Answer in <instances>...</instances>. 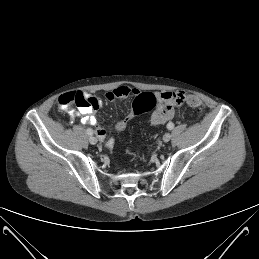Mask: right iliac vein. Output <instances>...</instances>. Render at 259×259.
<instances>
[{
    "mask_svg": "<svg viewBox=\"0 0 259 259\" xmlns=\"http://www.w3.org/2000/svg\"><path fill=\"white\" fill-rule=\"evenodd\" d=\"M89 142H90L91 144L95 145V144L97 143V138L94 137V136H92V135H90V137H89Z\"/></svg>",
    "mask_w": 259,
    "mask_h": 259,
    "instance_id": "right-iliac-vein-1",
    "label": "right iliac vein"
}]
</instances>
